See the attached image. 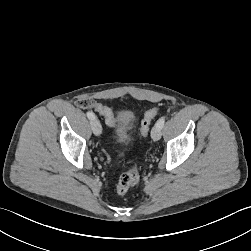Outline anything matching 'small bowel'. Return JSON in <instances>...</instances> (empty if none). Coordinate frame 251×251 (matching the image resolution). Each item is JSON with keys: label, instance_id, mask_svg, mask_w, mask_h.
<instances>
[{"label": "small bowel", "instance_id": "c3829d8e", "mask_svg": "<svg viewBox=\"0 0 251 251\" xmlns=\"http://www.w3.org/2000/svg\"><path fill=\"white\" fill-rule=\"evenodd\" d=\"M94 104V102L92 103L91 99L89 98H84V99H76L73 102V107L76 110H84V109H89L91 108V106Z\"/></svg>", "mask_w": 251, "mask_h": 251}]
</instances>
